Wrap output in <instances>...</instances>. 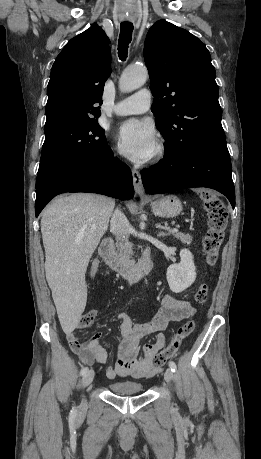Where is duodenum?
<instances>
[{
	"label": "duodenum",
	"mask_w": 261,
	"mask_h": 459,
	"mask_svg": "<svg viewBox=\"0 0 261 459\" xmlns=\"http://www.w3.org/2000/svg\"><path fill=\"white\" fill-rule=\"evenodd\" d=\"M99 255L103 262L114 272L119 273L125 279L135 282L149 271L153 266V258L150 250H146L142 260L136 265H124L113 251L112 239H105L99 247Z\"/></svg>",
	"instance_id": "410a0bca"
}]
</instances>
